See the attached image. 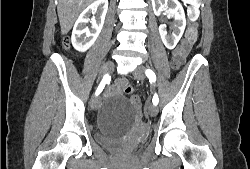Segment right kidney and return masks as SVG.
<instances>
[{"label":"right kidney","mask_w":250,"mask_h":169,"mask_svg":"<svg viewBox=\"0 0 250 169\" xmlns=\"http://www.w3.org/2000/svg\"><path fill=\"white\" fill-rule=\"evenodd\" d=\"M108 10V0H94L92 4H89L87 8H84L83 12L79 14L72 30V44L76 50L85 52L87 48H90L94 44L97 36H99L106 12ZM96 14L93 18H89V14ZM91 22V28L86 26V22Z\"/></svg>","instance_id":"ca27d5eb"}]
</instances>
